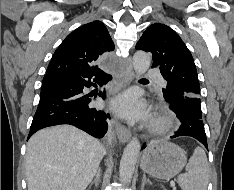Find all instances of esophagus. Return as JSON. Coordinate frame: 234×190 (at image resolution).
Returning a JSON list of instances; mask_svg holds the SVG:
<instances>
[{"instance_id": "obj_1", "label": "esophagus", "mask_w": 234, "mask_h": 190, "mask_svg": "<svg viewBox=\"0 0 234 190\" xmlns=\"http://www.w3.org/2000/svg\"><path fill=\"white\" fill-rule=\"evenodd\" d=\"M133 79H134V73L132 67L129 66L123 74V79H122L123 86L125 87L129 85L133 81ZM116 133L121 143H125L131 138V131L119 122H116Z\"/></svg>"}]
</instances>
